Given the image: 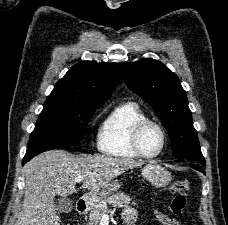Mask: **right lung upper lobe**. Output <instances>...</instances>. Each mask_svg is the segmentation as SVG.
Listing matches in <instances>:
<instances>
[{
	"label": "right lung upper lobe",
	"mask_w": 228,
	"mask_h": 225,
	"mask_svg": "<svg viewBox=\"0 0 228 225\" xmlns=\"http://www.w3.org/2000/svg\"><path fill=\"white\" fill-rule=\"evenodd\" d=\"M121 81L120 68L116 63L84 61L74 65L56 83L51 95L103 104Z\"/></svg>",
	"instance_id": "1"
}]
</instances>
